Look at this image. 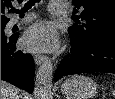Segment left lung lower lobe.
Listing matches in <instances>:
<instances>
[{"label": "left lung lower lobe", "mask_w": 115, "mask_h": 99, "mask_svg": "<svg viewBox=\"0 0 115 99\" xmlns=\"http://www.w3.org/2000/svg\"><path fill=\"white\" fill-rule=\"evenodd\" d=\"M70 42L71 53L58 65L55 80L79 73H115V41H99L81 48Z\"/></svg>", "instance_id": "obj_1"}]
</instances>
